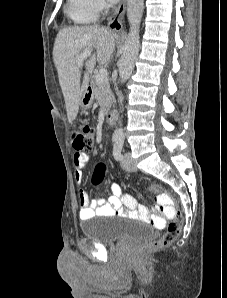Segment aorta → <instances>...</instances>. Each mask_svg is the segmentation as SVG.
Returning a JSON list of instances; mask_svg holds the SVG:
<instances>
[{"mask_svg":"<svg viewBox=\"0 0 227 298\" xmlns=\"http://www.w3.org/2000/svg\"><path fill=\"white\" fill-rule=\"evenodd\" d=\"M144 10V0H128L127 18L130 25L129 34L123 47V54L119 60V76L121 83H125L134 70L135 60L140 48L139 28ZM113 138L124 139V131L118 128Z\"/></svg>","mask_w":227,"mask_h":298,"instance_id":"obj_1","label":"aorta"}]
</instances>
